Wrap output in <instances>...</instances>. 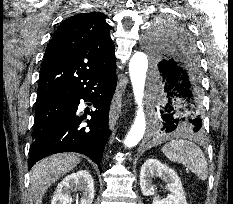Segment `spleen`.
<instances>
[{"label":"spleen","instance_id":"3e777b00","mask_svg":"<svg viewBox=\"0 0 233 204\" xmlns=\"http://www.w3.org/2000/svg\"><path fill=\"white\" fill-rule=\"evenodd\" d=\"M163 154L173 162H178L189 168L199 180L208 178L207 160L203 151L187 139H173L162 147Z\"/></svg>","mask_w":233,"mask_h":204}]
</instances>
